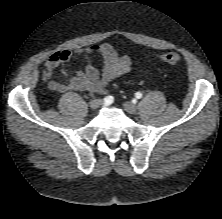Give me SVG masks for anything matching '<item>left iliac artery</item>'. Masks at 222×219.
<instances>
[{
    "mask_svg": "<svg viewBox=\"0 0 222 219\" xmlns=\"http://www.w3.org/2000/svg\"><path fill=\"white\" fill-rule=\"evenodd\" d=\"M135 96H136V98L140 99V98L142 97V93L137 92V93L135 94Z\"/></svg>",
    "mask_w": 222,
    "mask_h": 219,
    "instance_id": "left-iliac-artery-1",
    "label": "left iliac artery"
}]
</instances>
